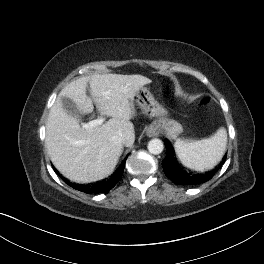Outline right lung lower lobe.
<instances>
[{"mask_svg":"<svg viewBox=\"0 0 264 264\" xmlns=\"http://www.w3.org/2000/svg\"><path fill=\"white\" fill-rule=\"evenodd\" d=\"M126 161V160H125ZM125 162L117 169L109 179L104 180L103 182H98L96 184L90 185H73V188L85 192V193H103L109 191L113 188L116 183L121 179L124 171Z\"/></svg>","mask_w":264,"mask_h":264,"instance_id":"1","label":"right lung lower lobe"}]
</instances>
